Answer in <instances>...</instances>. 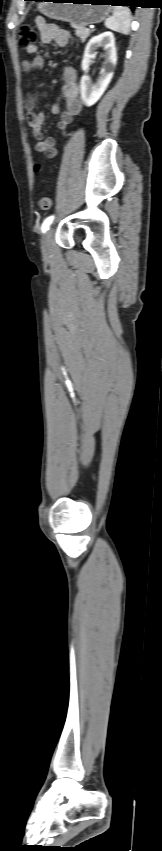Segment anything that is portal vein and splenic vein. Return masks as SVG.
I'll return each mask as SVG.
<instances>
[{"instance_id": "18ae733b", "label": "portal vein and splenic vein", "mask_w": 162, "mask_h": 851, "mask_svg": "<svg viewBox=\"0 0 162 851\" xmlns=\"http://www.w3.org/2000/svg\"><path fill=\"white\" fill-rule=\"evenodd\" d=\"M86 30H87V31H89L90 29H89V28H86Z\"/></svg>"}]
</instances>
